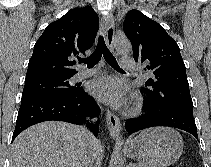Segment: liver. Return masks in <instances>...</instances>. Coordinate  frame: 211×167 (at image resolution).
<instances>
[{
	"label": "liver",
	"instance_id": "obj_1",
	"mask_svg": "<svg viewBox=\"0 0 211 167\" xmlns=\"http://www.w3.org/2000/svg\"><path fill=\"white\" fill-rule=\"evenodd\" d=\"M96 148L97 141L80 126L42 122L14 140L10 167H83L86 152Z\"/></svg>",
	"mask_w": 211,
	"mask_h": 167
}]
</instances>
